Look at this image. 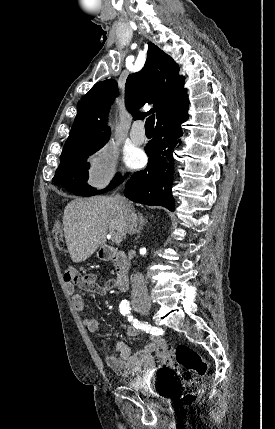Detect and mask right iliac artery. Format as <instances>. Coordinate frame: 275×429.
Masks as SVG:
<instances>
[{
    "label": "right iliac artery",
    "mask_w": 275,
    "mask_h": 429,
    "mask_svg": "<svg viewBox=\"0 0 275 429\" xmlns=\"http://www.w3.org/2000/svg\"><path fill=\"white\" fill-rule=\"evenodd\" d=\"M119 308H120L121 314H123L124 316L127 315L128 316V320L133 322V326L135 328H139V329L142 328V325L136 319L133 320V316L129 315L130 311H131V308H130V305H129L128 302H126V301L122 302L120 304Z\"/></svg>",
    "instance_id": "obj_1"
}]
</instances>
